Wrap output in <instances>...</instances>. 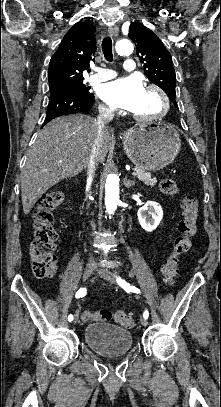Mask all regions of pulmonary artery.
<instances>
[{
	"mask_svg": "<svg viewBox=\"0 0 221 407\" xmlns=\"http://www.w3.org/2000/svg\"><path fill=\"white\" fill-rule=\"evenodd\" d=\"M123 67H124V71L127 73H131V72L135 71L136 64L134 62L133 56L124 57ZM116 75H117V73L114 70L103 67V68L99 69L98 73H96L90 77V82H92V83L104 82V81H107V80H110V79L116 77Z\"/></svg>",
	"mask_w": 221,
	"mask_h": 407,
	"instance_id": "pulmonary-artery-1",
	"label": "pulmonary artery"
}]
</instances>
